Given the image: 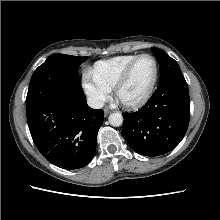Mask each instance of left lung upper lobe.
Masks as SVG:
<instances>
[{"mask_svg": "<svg viewBox=\"0 0 220 220\" xmlns=\"http://www.w3.org/2000/svg\"><path fill=\"white\" fill-rule=\"evenodd\" d=\"M152 51L160 67L161 77L159 85L175 78L184 77L178 63L173 58L160 49L152 48Z\"/></svg>", "mask_w": 220, "mask_h": 220, "instance_id": "1", "label": "left lung upper lobe"}]
</instances>
